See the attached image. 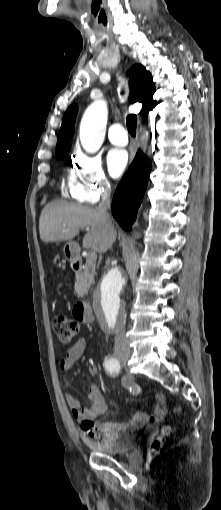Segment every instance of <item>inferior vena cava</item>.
Wrapping results in <instances>:
<instances>
[{
    "instance_id": "obj_1",
    "label": "inferior vena cava",
    "mask_w": 221,
    "mask_h": 510,
    "mask_svg": "<svg viewBox=\"0 0 221 510\" xmlns=\"http://www.w3.org/2000/svg\"><path fill=\"white\" fill-rule=\"evenodd\" d=\"M111 188L110 185H106L103 193L102 200L96 208L97 212L101 215L102 220L106 227L109 229L113 228L111 217L108 213V209L110 208L111 200H110ZM115 352H129L128 340L125 335V328L122 325L116 327V336H115Z\"/></svg>"
}]
</instances>
